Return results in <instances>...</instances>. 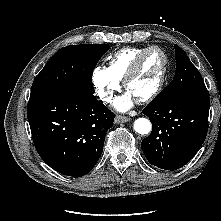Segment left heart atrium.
Instances as JSON below:
<instances>
[{
    "label": "left heart atrium",
    "instance_id": "left-heart-atrium-1",
    "mask_svg": "<svg viewBox=\"0 0 221 221\" xmlns=\"http://www.w3.org/2000/svg\"><path fill=\"white\" fill-rule=\"evenodd\" d=\"M133 101V96L127 91L122 97L114 101V106L120 111H125L132 106Z\"/></svg>",
    "mask_w": 221,
    "mask_h": 221
}]
</instances>
